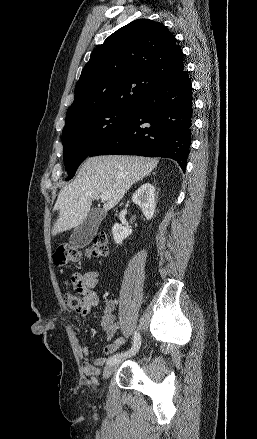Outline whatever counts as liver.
Segmentation results:
<instances>
[{
	"instance_id": "liver-1",
	"label": "liver",
	"mask_w": 257,
	"mask_h": 439,
	"mask_svg": "<svg viewBox=\"0 0 257 439\" xmlns=\"http://www.w3.org/2000/svg\"><path fill=\"white\" fill-rule=\"evenodd\" d=\"M157 164V159L135 156L88 158L74 181L64 186L58 195L54 210L59 211V216L53 225L52 235L81 225L90 212L92 201L103 193L110 195L104 210L115 207L127 190L149 175Z\"/></svg>"
}]
</instances>
